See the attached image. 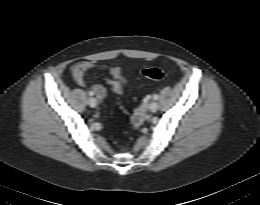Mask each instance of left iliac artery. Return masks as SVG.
I'll return each instance as SVG.
<instances>
[{
	"instance_id": "44dca946",
	"label": "left iliac artery",
	"mask_w": 260,
	"mask_h": 205,
	"mask_svg": "<svg viewBox=\"0 0 260 205\" xmlns=\"http://www.w3.org/2000/svg\"><path fill=\"white\" fill-rule=\"evenodd\" d=\"M158 97H159L158 94H154V95H153V99H154V100H157Z\"/></svg>"
}]
</instances>
